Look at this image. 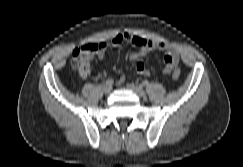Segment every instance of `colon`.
Listing matches in <instances>:
<instances>
[{"mask_svg":"<svg viewBox=\"0 0 243 167\" xmlns=\"http://www.w3.org/2000/svg\"><path fill=\"white\" fill-rule=\"evenodd\" d=\"M100 44L89 43L77 47L71 58L72 68L80 75L85 76L89 72V66L93 60V56L97 50H99ZM180 70L176 69L172 73L173 79L180 77Z\"/></svg>","mask_w":243,"mask_h":167,"instance_id":"1","label":"colon"}]
</instances>
